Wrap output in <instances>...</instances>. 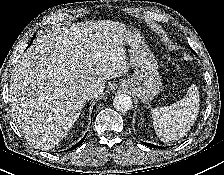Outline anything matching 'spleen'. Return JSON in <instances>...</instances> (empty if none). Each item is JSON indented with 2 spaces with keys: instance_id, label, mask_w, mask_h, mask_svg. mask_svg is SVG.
<instances>
[{
  "instance_id": "1",
  "label": "spleen",
  "mask_w": 224,
  "mask_h": 175,
  "mask_svg": "<svg viewBox=\"0 0 224 175\" xmlns=\"http://www.w3.org/2000/svg\"><path fill=\"white\" fill-rule=\"evenodd\" d=\"M199 91L192 84L186 96L170 106L151 109L153 126L158 138L172 142L184 137L191 129L199 112Z\"/></svg>"
}]
</instances>
